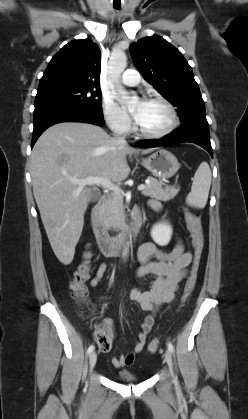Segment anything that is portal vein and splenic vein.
<instances>
[{
    "instance_id": "18ae733b",
    "label": "portal vein and splenic vein",
    "mask_w": 248,
    "mask_h": 419,
    "mask_svg": "<svg viewBox=\"0 0 248 419\" xmlns=\"http://www.w3.org/2000/svg\"><path fill=\"white\" fill-rule=\"evenodd\" d=\"M74 183L80 185V186H85V185H101L104 186L112 191H114L115 194L120 195L121 190L118 186H116L115 184H113V182H111L110 180H107L105 178L102 177H86L84 179H73L72 180ZM145 189V185L144 184H140L138 186V190L142 191Z\"/></svg>"
}]
</instances>
